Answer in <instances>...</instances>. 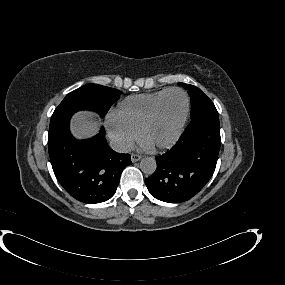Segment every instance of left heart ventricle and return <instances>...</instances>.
Listing matches in <instances>:
<instances>
[{
  "label": "left heart ventricle",
  "instance_id": "1",
  "mask_svg": "<svg viewBox=\"0 0 285 285\" xmlns=\"http://www.w3.org/2000/svg\"><path fill=\"white\" fill-rule=\"evenodd\" d=\"M185 109L184 95L178 91L171 92L162 103L154 122L143 133L142 140L152 147L168 142L175 135Z\"/></svg>",
  "mask_w": 285,
  "mask_h": 285
}]
</instances>
